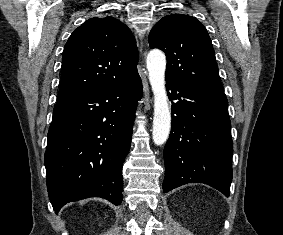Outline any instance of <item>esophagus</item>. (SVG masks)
<instances>
[{
  "label": "esophagus",
  "instance_id": "34e87169",
  "mask_svg": "<svg viewBox=\"0 0 283 235\" xmlns=\"http://www.w3.org/2000/svg\"><path fill=\"white\" fill-rule=\"evenodd\" d=\"M140 51L142 52V44H141V47H140Z\"/></svg>",
  "mask_w": 283,
  "mask_h": 235
}]
</instances>
